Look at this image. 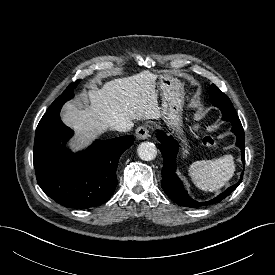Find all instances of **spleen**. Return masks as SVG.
I'll list each match as a JSON object with an SVG mask.
<instances>
[{
	"instance_id": "3e777b00",
	"label": "spleen",
	"mask_w": 275,
	"mask_h": 275,
	"mask_svg": "<svg viewBox=\"0 0 275 275\" xmlns=\"http://www.w3.org/2000/svg\"><path fill=\"white\" fill-rule=\"evenodd\" d=\"M188 171L196 187L203 191H218L234 174V158L225 155L213 160L196 161L189 166Z\"/></svg>"
}]
</instances>
